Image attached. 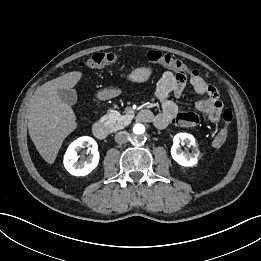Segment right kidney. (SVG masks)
<instances>
[{
  "mask_svg": "<svg viewBox=\"0 0 261 261\" xmlns=\"http://www.w3.org/2000/svg\"><path fill=\"white\" fill-rule=\"evenodd\" d=\"M85 146L90 147L91 156L85 161H78L77 153L80 148ZM99 158L96 141L91 137L84 136L69 145L64 155L63 163L70 174L74 176H86L97 167Z\"/></svg>",
  "mask_w": 261,
  "mask_h": 261,
  "instance_id": "obj_1",
  "label": "right kidney"
}]
</instances>
